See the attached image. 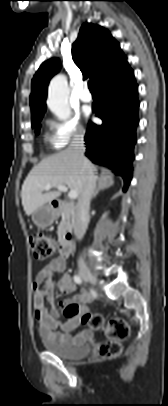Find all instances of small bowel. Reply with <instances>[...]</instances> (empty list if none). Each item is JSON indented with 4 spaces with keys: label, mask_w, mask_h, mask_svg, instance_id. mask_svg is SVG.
I'll return each instance as SVG.
<instances>
[{
    "label": "small bowel",
    "mask_w": 168,
    "mask_h": 406,
    "mask_svg": "<svg viewBox=\"0 0 168 406\" xmlns=\"http://www.w3.org/2000/svg\"><path fill=\"white\" fill-rule=\"evenodd\" d=\"M65 268L66 259L58 256L37 273L32 284L33 308L40 334L43 337L59 344L71 345L85 338L88 333L82 332L72 336L70 332L80 325V316L76 314L66 321H62L61 311L65 312L67 307H74L78 313H85L87 312L86 306L92 301V297L89 293L81 291L56 306L54 299L56 289H59L64 295H70L76 289L71 277L65 272ZM56 274H60L57 280L55 279ZM46 303L49 304V308L46 307Z\"/></svg>",
    "instance_id": "obj_1"
}]
</instances>
